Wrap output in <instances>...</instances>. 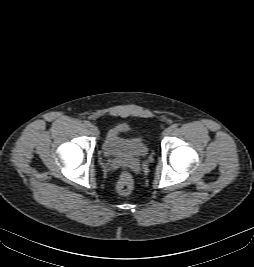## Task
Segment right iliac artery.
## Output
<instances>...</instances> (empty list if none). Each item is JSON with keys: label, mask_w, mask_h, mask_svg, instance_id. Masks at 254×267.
Listing matches in <instances>:
<instances>
[{"label": "right iliac artery", "mask_w": 254, "mask_h": 267, "mask_svg": "<svg viewBox=\"0 0 254 267\" xmlns=\"http://www.w3.org/2000/svg\"><path fill=\"white\" fill-rule=\"evenodd\" d=\"M83 125H84L85 127H89V126L91 125V123H90L89 121H84Z\"/></svg>", "instance_id": "obj_1"}]
</instances>
